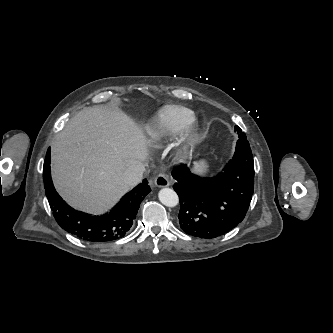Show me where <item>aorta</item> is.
Wrapping results in <instances>:
<instances>
[{"instance_id":"aorta-1","label":"aorta","mask_w":333,"mask_h":333,"mask_svg":"<svg viewBox=\"0 0 333 333\" xmlns=\"http://www.w3.org/2000/svg\"><path fill=\"white\" fill-rule=\"evenodd\" d=\"M160 202L168 207H175L179 203V198L177 193L170 188H163L158 194Z\"/></svg>"}]
</instances>
